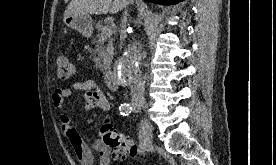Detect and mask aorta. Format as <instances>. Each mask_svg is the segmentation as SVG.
Instances as JSON below:
<instances>
[{
	"label": "aorta",
	"instance_id": "obj_1",
	"mask_svg": "<svg viewBox=\"0 0 276 165\" xmlns=\"http://www.w3.org/2000/svg\"><path fill=\"white\" fill-rule=\"evenodd\" d=\"M139 64V59L136 56V48L135 45L132 44L127 49V54L122 62L120 73L122 77L128 78L132 71L137 70V66Z\"/></svg>",
	"mask_w": 276,
	"mask_h": 165
}]
</instances>
